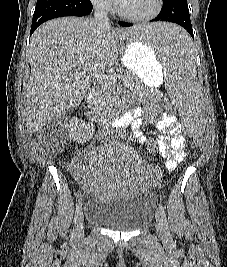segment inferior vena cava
I'll use <instances>...</instances> for the list:
<instances>
[{"label":"inferior vena cava","instance_id":"obj_1","mask_svg":"<svg viewBox=\"0 0 227 267\" xmlns=\"http://www.w3.org/2000/svg\"><path fill=\"white\" fill-rule=\"evenodd\" d=\"M108 9L109 5L105 0H98L95 3L94 20L97 26L101 29L110 28Z\"/></svg>","mask_w":227,"mask_h":267}]
</instances>
